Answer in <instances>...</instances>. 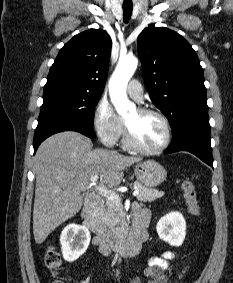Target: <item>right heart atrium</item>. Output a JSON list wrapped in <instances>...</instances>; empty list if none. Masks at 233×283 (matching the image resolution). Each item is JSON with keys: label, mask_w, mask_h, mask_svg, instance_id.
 <instances>
[{"label": "right heart atrium", "mask_w": 233, "mask_h": 283, "mask_svg": "<svg viewBox=\"0 0 233 283\" xmlns=\"http://www.w3.org/2000/svg\"><path fill=\"white\" fill-rule=\"evenodd\" d=\"M93 125L99 139L109 146L116 144L123 133L122 119L104 99L95 106Z\"/></svg>", "instance_id": "obj_1"}]
</instances>
